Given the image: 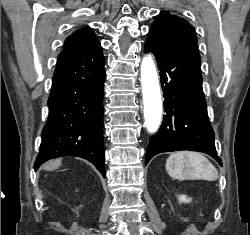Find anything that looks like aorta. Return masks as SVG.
I'll return each mask as SVG.
<instances>
[{
  "mask_svg": "<svg viewBox=\"0 0 250 235\" xmlns=\"http://www.w3.org/2000/svg\"><path fill=\"white\" fill-rule=\"evenodd\" d=\"M141 85L144 103L145 126L150 133L159 128L162 116V101L157 71L150 55L141 63Z\"/></svg>",
  "mask_w": 250,
  "mask_h": 235,
  "instance_id": "obj_1",
  "label": "aorta"
}]
</instances>
